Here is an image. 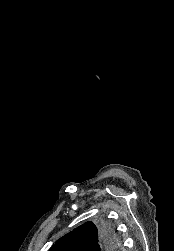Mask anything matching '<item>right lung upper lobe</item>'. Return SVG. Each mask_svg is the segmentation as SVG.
Segmentation results:
<instances>
[{"label":"right lung upper lobe","mask_w":174,"mask_h":251,"mask_svg":"<svg viewBox=\"0 0 174 251\" xmlns=\"http://www.w3.org/2000/svg\"><path fill=\"white\" fill-rule=\"evenodd\" d=\"M99 241L100 226L88 221L60 238L49 251H92Z\"/></svg>","instance_id":"cb5924a9"}]
</instances>
